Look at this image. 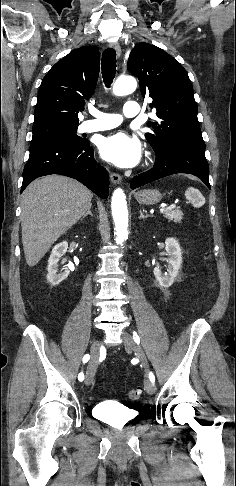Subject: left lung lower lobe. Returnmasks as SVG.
I'll return each mask as SVG.
<instances>
[{"label": "left lung lower lobe", "instance_id": "left-lung-lower-lobe-1", "mask_svg": "<svg viewBox=\"0 0 236 486\" xmlns=\"http://www.w3.org/2000/svg\"><path fill=\"white\" fill-rule=\"evenodd\" d=\"M204 149L186 143H174L162 151L155 152L156 160L153 168L135 176L130 183L131 189L176 173L195 175L211 189L208 178L209 166Z\"/></svg>", "mask_w": 236, "mask_h": 486}]
</instances>
